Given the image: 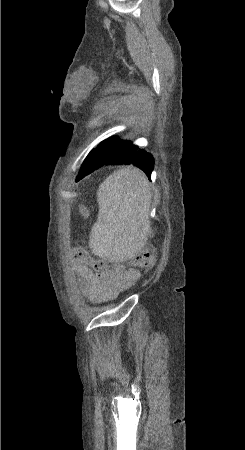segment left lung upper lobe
<instances>
[{
    "label": "left lung upper lobe",
    "mask_w": 245,
    "mask_h": 450,
    "mask_svg": "<svg viewBox=\"0 0 245 450\" xmlns=\"http://www.w3.org/2000/svg\"><path fill=\"white\" fill-rule=\"evenodd\" d=\"M126 143H128V141H121L118 139V137H114V138H109L107 140H104L103 142H101L98 146L99 147H110V148H116L119 146H123ZM96 151H91L88 156L86 157L85 161L82 164V167L80 169V172H84L86 171L88 168H92L94 165H96L99 162V154L95 153Z\"/></svg>",
    "instance_id": "1"
}]
</instances>
